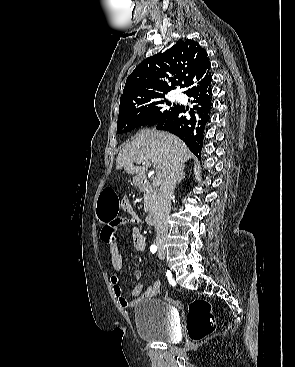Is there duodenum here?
Listing matches in <instances>:
<instances>
[{"label":"duodenum","mask_w":295,"mask_h":367,"mask_svg":"<svg viewBox=\"0 0 295 367\" xmlns=\"http://www.w3.org/2000/svg\"><path fill=\"white\" fill-rule=\"evenodd\" d=\"M139 183H140L141 188H146L147 185H148V181L144 177H141L139 179ZM158 216H159L158 208L152 209L146 217L147 224L148 225H154L158 220Z\"/></svg>","instance_id":"duodenum-1"}]
</instances>
